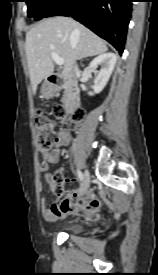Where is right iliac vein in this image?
<instances>
[{"instance_id":"right-iliac-vein-1","label":"right iliac vein","mask_w":158,"mask_h":275,"mask_svg":"<svg viewBox=\"0 0 158 275\" xmlns=\"http://www.w3.org/2000/svg\"><path fill=\"white\" fill-rule=\"evenodd\" d=\"M89 185H90V174H89L88 170H85L84 177H83V182H82V185H81L83 193L87 192V190L89 188Z\"/></svg>"}]
</instances>
